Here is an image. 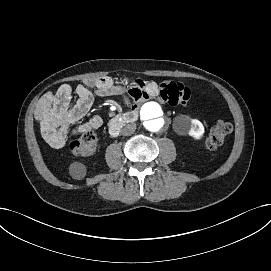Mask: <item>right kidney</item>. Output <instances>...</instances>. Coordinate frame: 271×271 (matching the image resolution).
I'll return each instance as SVG.
<instances>
[{"label":"right kidney","mask_w":271,"mask_h":271,"mask_svg":"<svg viewBox=\"0 0 271 271\" xmlns=\"http://www.w3.org/2000/svg\"><path fill=\"white\" fill-rule=\"evenodd\" d=\"M70 172L73 178L81 179L85 176V167L80 163H73L70 166Z\"/></svg>","instance_id":"right-kidney-1"}]
</instances>
